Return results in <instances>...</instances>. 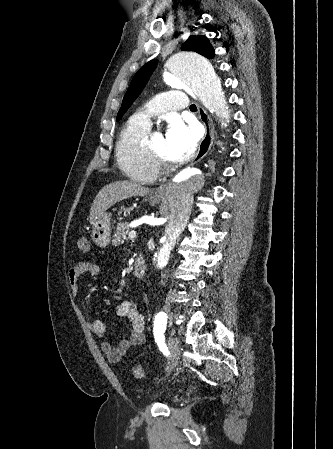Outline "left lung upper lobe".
Instances as JSON below:
<instances>
[{"mask_svg":"<svg viewBox=\"0 0 333 449\" xmlns=\"http://www.w3.org/2000/svg\"><path fill=\"white\" fill-rule=\"evenodd\" d=\"M182 51H194L207 58H213L215 51L207 37L203 35H192L182 45ZM157 65L156 60L146 63L133 77L131 84L123 98L121 109L117 115V121L121 119L133 101L145 87L150 75Z\"/></svg>","mask_w":333,"mask_h":449,"instance_id":"5c2ea615","label":"left lung upper lobe"}]
</instances>
